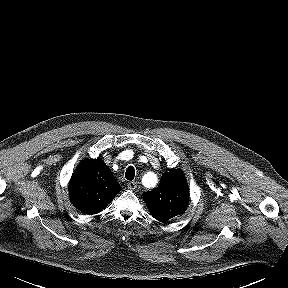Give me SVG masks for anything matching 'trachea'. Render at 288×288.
Instances as JSON below:
<instances>
[{
	"label": "trachea",
	"instance_id": "3493384b",
	"mask_svg": "<svg viewBox=\"0 0 288 288\" xmlns=\"http://www.w3.org/2000/svg\"><path fill=\"white\" fill-rule=\"evenodd\" d=\"M135 177V169L133 166H129L125 172V178L127 180H133Z\"/></svg>",
	"mask_w": 288,
	"mask_h": 288
}]
</instances>
